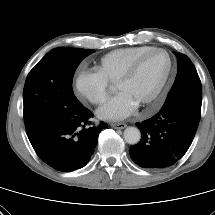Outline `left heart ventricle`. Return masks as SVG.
Instances as JSON below:
<instances>
[{
  "label": "left heart ventricle",
  "instance_id": "1",
  "mask_svg": "<svg viewBox=\"0 0 215 215\" xmlns=\"http://www.w3.org/2000/svg\"><path fill=\"white\" fill-rule=\"evenodd\" d=\"M168 64V58L164 53L149 55L130 80L116 86L117 91L126 93L137 105H141L161 83Z\"/></svg>",
  "mask_w": 215,
  "mask_h": 215
}]
</instances>
